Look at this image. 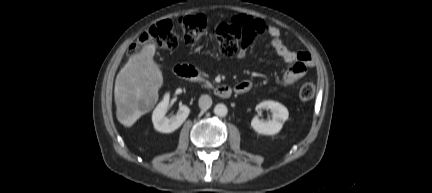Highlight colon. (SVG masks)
Wrapping results in <instances>:
<instances>
[{
    "mask_svg": "<svg viewBox=\"0 0 432 193\" xmlns=\"http://www.w3.org/2000/svg\"><path fill=\"white\" fill-rule=\"evenodd\" d=\"M206 30L207 20L203 15L185 16L176 22L160 21L144 31L130 50L136 53L145 44H153L163 50H173L181 42L193 46L204 36ZM211 36L217 51L227 57L236 55L253 39V33L248 27L233 22L213 25ZM315 92V85L306 82L300 87L299 96L303 101H308L314 97Z\"/></svg>",
    "mask_w": 432,
    "mask_h": 193,
    "instance_id": "obj_1",
    "label": "colon"
}]
</instances>
